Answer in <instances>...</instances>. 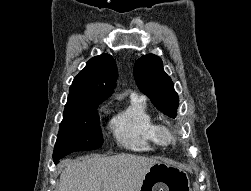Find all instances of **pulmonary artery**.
I'll list each match as a JSON object with an SVG mask.
<instances>
[{"instance_id":"pulmonary-artery-1","label":"pulmonary artery","mask_w":251,"mask_h":191,"mask_svg":"<svg viewBox=\"0 0 251 191\" xmlns=\"http://www.w3.org/2000/svg\"><path fill=\"white\" fill-rule=\"evenodd\" d=\"M135 95V93H132V96H134Z\"/></svg>"}]
</instances>
